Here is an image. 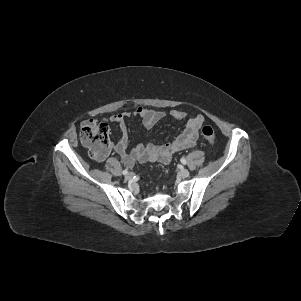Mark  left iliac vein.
<instances>
[{
	"instance_id": "4c4485c4",
	"label": "left iliac vein",
	"mask_w": 301,
	"mask_h": 301,
	"mask_svg": "<svg viewBox=\"0 0 301 301\" xmlns=\"http://www.w3.org/2000/svg\"><path fill=\"white\" fill-rule=\"evenodd\" d=\"M179 174L183 178H187L190 175L189 171L187 169H184V168L180 169Z\"/></svg>"
}]
</instances>
